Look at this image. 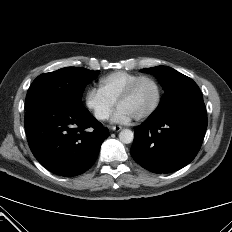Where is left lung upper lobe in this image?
I'll return each instance as SVG.
<instances>
[{
	"instance_id": "left-lung-upper-lobe-1",
	"label": "left lung upper lobe",
	"mask_w": 232,
	"mask_h": 232,
	"mask_svg": "<svg viewBox=\"0 0 232 232\" xmlns=\"http://www.w3.org/2000/svg\"><path fill=\"white\" fill-rule=\"evenodd\" d=\"M141 71L156 76L165 91L162 102L155 114H160L171 105L201 93L198 85L191 78L170 67L157 66L145 68Z\"/></svg>"
}]
</instances>
